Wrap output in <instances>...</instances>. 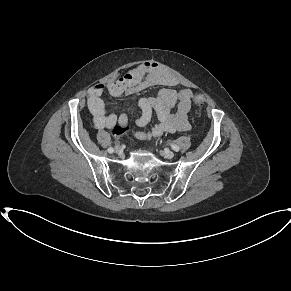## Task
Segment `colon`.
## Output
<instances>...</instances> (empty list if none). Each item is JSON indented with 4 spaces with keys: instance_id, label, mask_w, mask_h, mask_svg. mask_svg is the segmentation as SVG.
Here are the masks:
<instances>
[{
    "instance_id": "5ec220e1",
    "label": "colon",
    "mask_w": 291,
    "mask_h": 291,
    "mask_svg": "<svg viewBox=\"0 0 291 291\" xmlns=\"http://www.w3.org/2000/svg\"><path fill=\"white\" fill-rule=\"evenodd\" d=\"M192 101L193 104L197 107V108H202L205 104V99L203 97V95L195 93L192 95ZM129 131V127L128 126H123V125H115L112 129V133L116 136H119L125 132Z\"/></svg>"
}]
</instances>
